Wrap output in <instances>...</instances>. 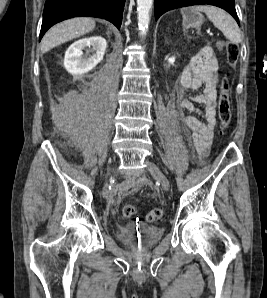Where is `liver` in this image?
Wrapping results in <instances>:
<instances>
[{
  "label": "liver",
  "instance_id": "1",
  "mask_svg": "<svg viewBox=\"0 0 267 298\" xmlns=\"http://www.w3.org/2000/svg\"><path fill=\"white\" fill-rule=\"evenodd\" d=\"M95 21L90 18H74L66 20L52 27L43 37L41 51L46 53L72 39L91 32L95 28Z\"/></svg>",
  "mask_w": 267,
  "mask_h": 298
}]
</instances>
